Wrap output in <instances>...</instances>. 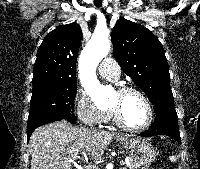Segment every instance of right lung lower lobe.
<instances>
[{
  "instance_id": "98d812e1",
  "label": "right lung lower lobe",
  "mask_w": 200,
  "mask_h": 169,
  "mask_svg": "<svg viewBox=\"0 0 200 169\" xmlns=\"http://www.w3.org/2000/svg\"><path fill=\"white\" fill-rule=\"evenodd\" d=\"M62 119H65L69 121L70 123L76 122V117L74 114H70L67 116H47V117H38L28 120L27 123V141H29V138L32 134V132L39 126L54 122V121H60Z\"/></svg>"
}]
</instances>
